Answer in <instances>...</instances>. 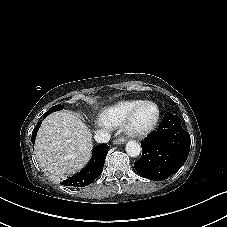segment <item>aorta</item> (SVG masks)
Masks as SVG:
<instances>
[{"instance_id": "1", "label": "aorta", "mask_w": 227, "mask_h": 227, "mask_svg": "<svg viewBox=\"0 0 227 227\" xmlns=\"http://www.w3.org/2000/svg\"><path fill=\"white\" fill-rule=\"evenodd\" d=\"M125 149L130 157H138L141 153V146L135 140L128 141Z\"/></svg>"}]
</instances>
